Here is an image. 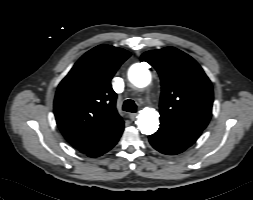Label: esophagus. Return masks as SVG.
<instances>
[{
  "label": "esophagus",
  "mask_w": 253,
  "mask_h": 200,
  "mask_svg": "<svg viewBox=\"0 0 253 200\" xmlns=\"http://www.w3.org/2000/svg\"><path fill=\"white\" fill-rule=\"evenodd\" d=\"M136 116H137L136 113H131V114L129 115V117H130V119H131L132 121H134V120L136 119Z\"/></svg>",
  "instance_id": "34e87169"
}]
</instances>
